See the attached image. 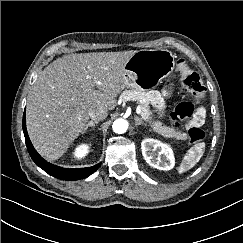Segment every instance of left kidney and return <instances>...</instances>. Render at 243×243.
<instances>
[{
    "instance_id": "left-kidney-1",
    "label": "left kidney",
    "mask_w": 243,
    "mask_h": 243,
    "mask_svg": "<svg viewBox=\"0 0 243 243\" xmlns=\"http://www.w3.org/2000/svg\"><path fill=\"white\" fill-rule=\"evenodd\" d=\"M141 150L146 162L154 168L168 171L175 165V158L171 147L159 140L144 139L141 143Z\"/></svg>"
}]
</instances>
